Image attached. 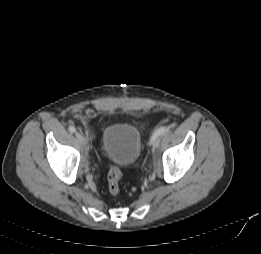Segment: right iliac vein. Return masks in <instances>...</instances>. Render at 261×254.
I'll list each match as a JSON object with an SVG mask.
<instances>
[{
    "instance_id": "1",
    "label": "right iliac vein",
    "mask_w": 261,
    "mask_h": 254,
    "mask_svg": "<svg viewBox=\"0 0 261 254\" xmlns=\"http://www.w3.org/2000/svg\"><path fill=\"white\" fill-rule=\"evenodd\" d=\"M75 135L83 145H89V139L85 138L80 132H76Z\"/></svg>"
}]
</instances>
